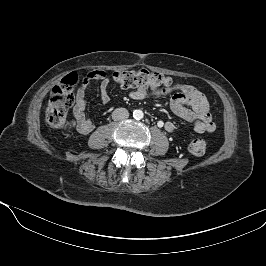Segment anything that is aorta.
<instances>
[{
    "instance_id": "762f6f07",
    "label": "aorta",
    "mask_w": 266,
    "mask_h": 266,
    "mask_svg": "<svg viewBox=\"0 0 266 266\" xmlns=\"http://www.w3.org/2000/svg\"><path fill=\"white\" fill-rule=\"evenodd\" d=\"M143 116H144V113H143V111L142 110H134V112H133V117L135 118V119H137V120H140V119H142L143 118Z\"/></svg>"
}]
</instances>
